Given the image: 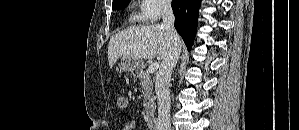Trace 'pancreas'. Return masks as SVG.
Here are the masks:
<instances>
[{
  "label": "pancreas",
  "mask_w": 299,
  "mask_h": 130,
  "mask_svg": "<svg viewBox=\"0 0 299 130\" xmlns=\"http://www.w3.org/2000/svg\"><path fill=\"white\" fill-rule=\"evenodd\" d=\"M138 77L144 97L145 113L148 117H152L155 113V96L150 74L148 71H142L139 73Z\"/></svg>",
  "instance_id": "obj_1"
}]
</instances>
